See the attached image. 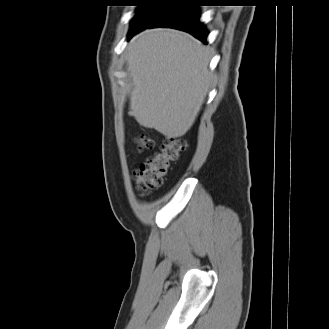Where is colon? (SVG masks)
I'll return each instance as SVG.
<instances>
[{
    "label": "colon",
    "mask_w": 329,
    "mask_h": 329,
    "mask_svg": "<svg viewBox=\"0 0 329 329\" xmlns=\"http://www.w3.org/2000/svg\"><path fill=\"white\" fill-rule=\"evenodd\" d=\"M139 151L154 147L153 139L145 134L135 139ZM186 150V141L177 137H167L156 153L140 165L135 172V189L146 192L162 186L172 164L176 163Z\"/></svg>",
    "instance_id": "1"
}]
</instances>
